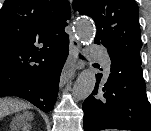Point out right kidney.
<instances>
[{
  "instance_id": "1",
  "label": "right kidney",
  "mask_w": 151,
  "mask_h": 131,
  "mask_svg": "<svg viewBox=\"0 0 151 131\" xmlns=\"http://www.w3.org/2000/svg\"><path fill=\"white\" fill-rule=\"evenodd\" d=\"M21 124H22V121H21V120H18V119L14 120V121L12 122V126H13L15 129H19L20 126H21Z\"/></svg>"
}]
</instances>
